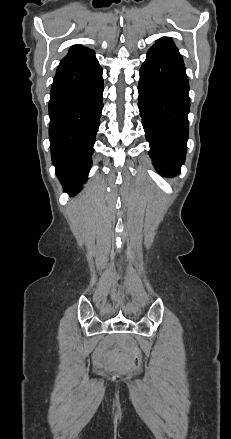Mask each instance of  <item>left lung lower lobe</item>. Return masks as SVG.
<instances>
[{
	"mask_svg": "<svg viewBox=\"0 0 231 439\" xmlns=\"http://www.w3.org/2000/svg\"><path fill=\"white\" fill-rule=\"evenodd\" d=\"M138 107L149 155L165 177L180 172L189 133V82L178 51L152 46L140 71Z\"/></svg>",
	"mask_w": 231,
	"mask_h": 439,
	"instance_id": "obj_1",
	"label": "left lung lower lobe"
}]
</instances>
